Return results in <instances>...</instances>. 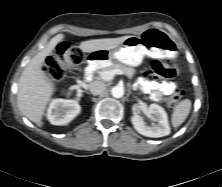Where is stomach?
Masks as SVG:
<instances>
[{"label": "stomach", "mask_w": 222, "mask_h": 187, "mask_svg": "<svg viewBox=\"0 0 222 187\" xmlns=\"http://www.w3.org/2000/svg\"><path fill=\"white\" fill-rule=\"evenodd\" d=\"M178 53V45L169 33L159 28H149L140 36H130L113 50L101 49L91 52L89 63L98 65L107 62H121L138 66L145 56L152 58H173Z\"/></svg>", "instance_id": "0dacf381"}]
</instances>
